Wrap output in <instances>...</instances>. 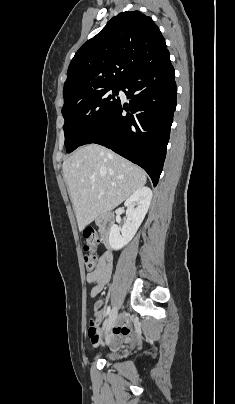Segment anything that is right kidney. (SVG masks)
<instances>
[{"instance_id": "1", "label": "right kidney", "mask_w": 235, "mask_h": 404, "mask_svg": "<svg viewBox=\"0 0 235 404\" xmlns=\"http://www.w3.org/2000/svg\"><path fill=\"white\" fill-rule=\"evenodd\" d=\"M152 195L150 188L141 187L125 201L127 220L122 229L117 225L111 227L109 243L112 249L119 250L133 239L148 212Z\"/></svg>"}]
</instances>
